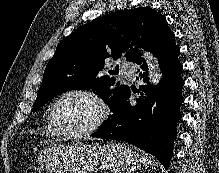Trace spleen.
<instances>
[{
  "label": "spleen",
  "instance_id": "3e777b00",
  "mask_svg": "<svg viewBox=\"0 0 219 173\" xmlns=\"http://www.w3.org/2000/svg\"><path fill=\"white\" fill-rule=\"evenodd\" d=\"M140 161L141 163L143 164V166L145 167H149L152 162L154 163L155 162V159L152 158L151 156L147 157V156H141L140 157Z\"/></svg>",
  "mask_w": 219,
  "mask_h": 173
}]
</instances>
